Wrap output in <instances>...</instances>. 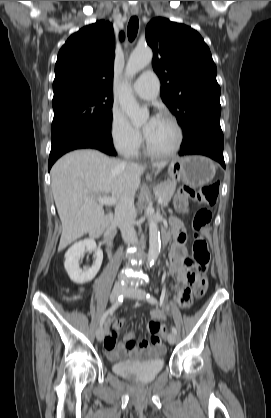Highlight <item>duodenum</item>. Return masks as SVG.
Instances as JSON below:
<instances>
[{
    "mask_svg": "<svg viewBox=\"0 0 271 418\" xmlns=\"http://www.w3.org/2000/svg\"><path fill=\"white\" fill-rule=\"evenodd\" d=\"M114 234H115V225L111 220H109L101 234L104 242L108 246H111Z\"/></svg>",
    "mask_w": 271,
    "mask_h": 418,
    "instance_id": "410a0bca",
    "label": "duodenum"
}]
</instances>
